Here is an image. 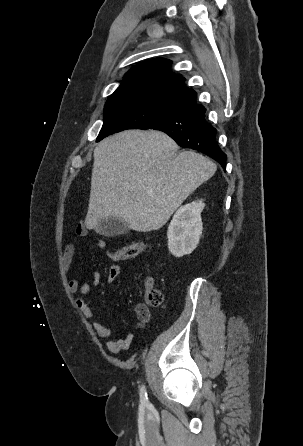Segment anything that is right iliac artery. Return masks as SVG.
I'll return each mask as SVG.
<instances>
[{
	"label": "right iliac artery",
	"instance_id": "right-iliac-artery-1",
	"mask_svg": "<svg viewBox=\"0 0 303 446\" xmlns=\"http://www.w3.org/2000/svg\"><path fill=\"white\" fill-rule=\"evenodd\" d=\"M140 401L142 404L148 403V397H147V392H146L145 386H142L140 389Z\"/></svg>",
	"mask_w": 303,
	"mask_h": 446
}]
</instances>
